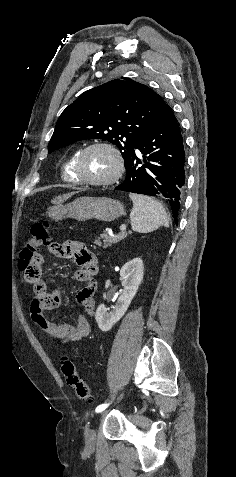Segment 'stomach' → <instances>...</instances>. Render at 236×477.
<instances>
[{"instance_id": "0dacf381", "label": "stomach", "mask_w": 236, "mask_h": 477, "mask_svg": "<svg viewBox=\"0 0 236 477\" xmlns=\"http://www.w3.org/2000/svg\"><path fill=\"white\" fill-rule=\"evenodd\" d=\"M47 214L54 220L73 218L78 221L97 219L111 222L124 215V206L111 198L84 196L66 205L55 204L48 209Z\"/></svg>"}]
</instances>
